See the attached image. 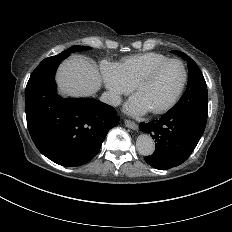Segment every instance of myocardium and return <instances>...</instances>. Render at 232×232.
Segmentation results:
<instances>
[{"instance_id":"obj_1","label":"myocardium","mask_w":232,"mask_h":232,"mask_svg":"<svg viewBox=\"0 0 232 232\" xmlns=\"http://www.w3.org/2000/svg\"><path fill=\"white\" fill-rule=\"evenodd\" d=\"M169 63H177L181 66L182 71H183V81H182L180 88L178 89V91L176 92V94L174 95V97L171 99V101L168 104H166L162 108H159L156 110H151V112L155 115H161V114H165V113L169 112L171 109H173L176 106V104L180 100V98H181L182 94L184 93L185 88L187 86L188 77H189L186 64L178 58H168L166 60H163V61L155 64L149 70H147L145 73H143L141 76H139L138 79L134 82V84L132 86V91L136 93L137 89L144 82L151 79L162 67H164L165 65H167Z\"/></svg>"}]
</instances>
